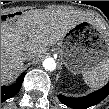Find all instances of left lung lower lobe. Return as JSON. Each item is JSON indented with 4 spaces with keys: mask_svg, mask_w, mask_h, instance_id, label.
I'll return each instance as SVG.
<instances>
[{
    "mask_svg": "<svg viewBox=\"0 0 109 109\" xmlns=\"http://www.w3.org/2000/svg\"><path fill=\"white\" fill-rule=\"evenodd\" d=\"M109 95V83L100 90H97L87 96L81 98H71L63 95H58L59 100L74 109H86L101 102Z\"/></svg>",
    "mask_w": 109,
    "mask_h": 109,
    "instance_id": "1",
    "label": "left lung lower lobe"
}]
</instances>
